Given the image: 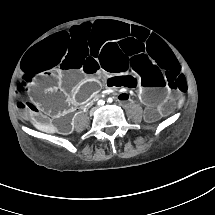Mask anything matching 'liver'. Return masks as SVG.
I'll return each instance as SVG.
<instances>
[{
  "mask_svg": "<svg viewBox=\"0 0 215 215\" xmlns=\"http://www.w3.org/2000/svg\"><path fill=\"white\" fill-rule=\"evenodd\" d=\"M32 125L34 126V128L44 133L56 134L59 132V129L54 125H44L40 123H33Z\"/></svg>",
  "mask_w": 215,
  "mask_h": 215,
  "instance_id": "obj_1",
  "label": "liver"
}]
</instances>
